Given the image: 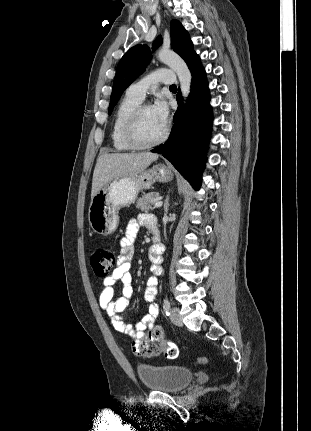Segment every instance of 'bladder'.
Here are the masks:
<instances>
[{
  "label": "bladder",
  "instance_id": "bladder-1",
  "mask_svg": "<svg viewBox=\"0 0 311 431\" xmlns=\"http://www.w3.org/2000/svg\"><path fill=\"white\" fill-rule=\"evenodd\" d=\"M136 372L145 388L167 393L181 391L193 378L192 371L181 365L139 364Z\"/></svg>",
  "mask_w": 311,
  "mask_h": 431
}]
</instances>
